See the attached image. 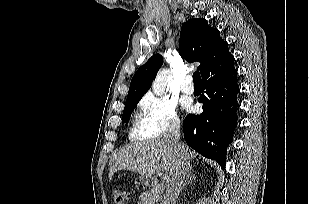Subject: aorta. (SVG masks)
Listing matches in <instances>:
<instances>
[{"instance_id": "obj_1", "label": "aorta", "mask_w": 309, "mask_h": 204, "mask_svg": "<svg viewBox=\"0 0 309 204\" xmlns=\"http://www.w3.org/2000/svg\"><path fill=\"white\" fill-rule=\"evenodd\" d=\"M170 74V71L168 69H161L153 81L152 84V90L155 95L161 96L163 95L166 85H167V79Z\"/></svg>"}]
</instances>
